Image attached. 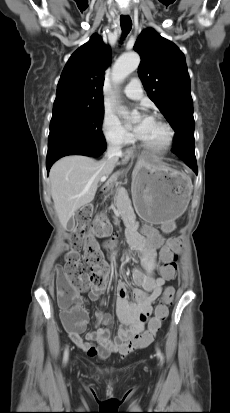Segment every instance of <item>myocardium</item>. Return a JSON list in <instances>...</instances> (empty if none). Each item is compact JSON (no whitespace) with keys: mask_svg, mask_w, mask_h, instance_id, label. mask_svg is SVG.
Segmentation results:
<instances>
[{"mask_svg":"<svg viewBox=\"0 0 230 413\" xmlns=\"http://www.w3.org/2000/svg\"><path fill=\"white\" fill-rule=\"evenodd\" d=\"M152 119L159 122L165 129L166 131L165 139L159 144L148 143L142 140L141 138L139 140H140L142 147H144L145 149L154 151V152H161V151L168 149L171 146L173 142V138H174V130L172 126L162 117L155 115L153 116Z\"/></svg>","mask_w":230,"mask_h":413,"instance_id":"obj_1","label":"myocardium"}]
</instances>
